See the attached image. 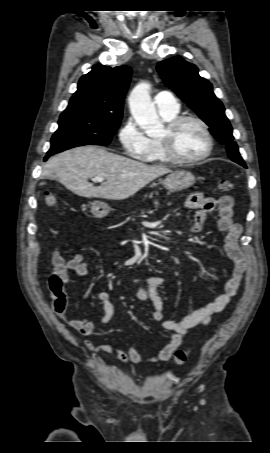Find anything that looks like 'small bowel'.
Returning a JSON list of instances; mask_svg holds the SVG:
<instances>
[{"mask_svg":"<svg viewBox=\"0 0 270 453\" xmlns=\"http://www.w3.org/2000/svg\"><path fill=\"white\" fill-rule=\"evenodd\" d=\"M234 200L231 196L224 195L217 200L204 198L200 194H193L185 202L186 209L195 210V223L193 231L201 229L207 213L214 210L218 211L217 228L226 233L224 248L227 256L233 264V273L225 286V292L212 302L192 311L181 319H165L164 304L158 293V288L166 282L164 276H151L144 279H136L138 285L137 297L140 302L147 305L150 302L151 317L161 323L164 330L172 332L168 342L160 348L155 355H150L149 351H139L135 348L123 349L111 343L94 346L88 339L84 340L86 348L93 354L115 353L119 361L123 363L166 362L168 361L181 343V338L189 330L197 326L208 324L212 316L222 311L237 294L247 269V258L240 246L242 226L233 220ZM52 262L54 272L67 284L71 281L69 271H73L77 276L84 277L88 274V262L83 254H75L66 260L61 248H55L52 252ZM97 298L102 305L103 314L99 323L107 325L114 313L115 308L107 291L98 293ZM61 317L67 322L69 327L77 331L81 336L87 338L95 331L96 324L88 318H67L65 313Z\"/></svg>","mask_w":270,"mask_h":453,"instance_id":"c3829d8e","label":"small bowel"}]
</instances>
